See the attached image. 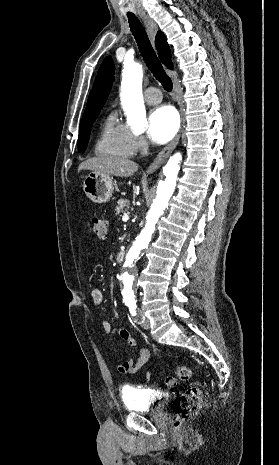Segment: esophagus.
I'll list each match as a JSON object with an SVG mask.
<instances>
[{
    "mask_svg": "<svg viewBox=\"0 0 279 465\" xmlns=\"http://www.w3.org/2000/svg\"><path fill=\"white\" fill-rule=\"evenodd\" d=\"M140 17H141L142 21L144 22V25H145V27L147 29L149 38H150L151 42L154 45V40H155L156 33L158 31V26L147 15L141 14ZM173 88H174V91L176 92L177 91L176 82H174ZM181 131L182 130L179 131L176 138L171 143H169L166 147H164L159 152V154L156 156V158L153 160V162L149 165V167L147 169L148 173H154L164 163L166 158L170 155V153L173 151V149L178 144L180 136H181Z\"/></svg>",
    "mask_w": 279,
    "mask_h": 465,
    "instance_id": "obj_1",
    "label": "esophagus"
}]
</instances>
